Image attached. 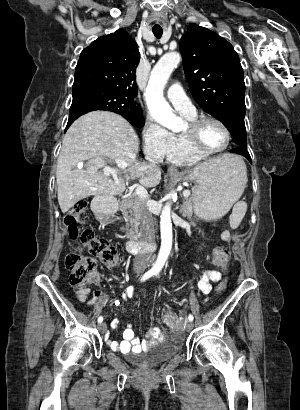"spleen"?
<instances>
[{
	"label": "spleen",
	"instance_id": "spleen-1",
	"mask_svg": "<svg viewBox=\"0 0 300 410\" xmlns=\"http://www.w3.org/2000/svg\"><path fill=\"white\" fill-rule=\"evenodd\" d=\"M239 167L243 172V177H244L243 184H244V186H246L247 173H246V166H245L243 161L239 164ZM246 211H247L246 202L239 201L234 205L232 213L230 215V227L232 229H236L239 226V224L241 223L243 217L245 216Z\"/></svg>",
	"mask_w": 300,
	"mask_h": 410
}]
</instances>
